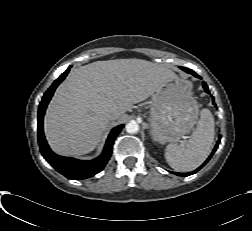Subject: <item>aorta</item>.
Returning <instances> with one entry per match:
<instances>
[{"label":"aorta","mask_w":252,"mask_h":231,"mask_svg":"<svg viewBox=\"0 0 252 231\" xmlns=\"http://www.w3.org/2000/svg\"><path fill=\"white\" fill-rule=\"evenodd\" d=\"M126 131L130 134L137 133L139 131V125L135 121L129 122L126 125Z\"/></svg>","instance_id":"762f6f07"}]
</instances>
